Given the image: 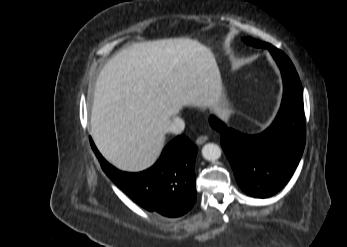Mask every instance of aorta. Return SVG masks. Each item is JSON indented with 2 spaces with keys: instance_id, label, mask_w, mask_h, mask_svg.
Instances as JSON below:
<instances>
[{
  "instance_id": "762f6f07",
  "label": "aorta",
  "mask_w": 347,
  "mask_h": 247,
  "mask_svg": "<svg viewBox=\"0 0 347 247\" xmlns=\"http://www.w3.org/2000/svg\"><path fill=\"white\" fill-rule=\"evenodd\" d=\"M202 156L208 161H216L221 157V149L215 143H207L202 148Z\"/></svg>"
}]
</instances>
